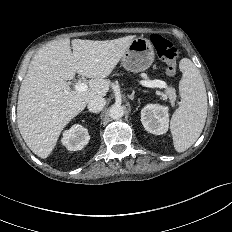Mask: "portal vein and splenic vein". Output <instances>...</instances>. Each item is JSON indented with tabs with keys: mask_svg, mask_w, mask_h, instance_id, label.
Masks as SVG:
<instances>
[{
	"mask_svg": "<svg viewBox=\"0 0 232 232\" xmlns=\"http://www.w3.org/2000/svg\"><path fill=\"white\" fill-rule=\"evenodd\" d=\"M141 84L145 87H149V88H166L167 87V84L166 82L162 81V80H144V81H141ZM88 88V85L86 83H82L80 81L74 83V89L76 91H80V92H83V91H86Z\"/></svg>",
	"mask_w": 232,
	"mask_h": 232,
	"instance_id": "portal-vein-and-splenic-vein-1",
	"label": "portal vein and splenic vein"
}]
</instances>
